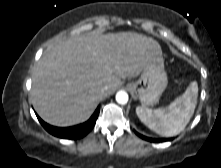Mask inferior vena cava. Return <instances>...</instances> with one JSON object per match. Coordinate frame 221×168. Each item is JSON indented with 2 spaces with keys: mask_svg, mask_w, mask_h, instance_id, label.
<instances>
[{
  "mask_svg": "<svg viewBox=\"0 0 221 168\" xmlns=\"http://www.w3.org/2000/svg\"><path fill=\"white\" fill-rule=\"evenodd\" d=\"M107 89V87L105 86L104 88H102V92H104Z\"/></svg>",
  "mask_w": 221,
  "mask_h": 168,
  "instance_id": "obj_1",
  "label": "inferior vena cava"
}]
</instances>
